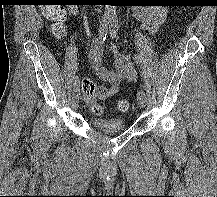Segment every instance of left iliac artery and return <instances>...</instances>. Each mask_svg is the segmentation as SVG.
I'll use <instances>...</instances> for the list:
<instances>
[{
    "label": "left iliac artery",
    "instance_id": "1",
    "mask_svg": "<svg viewBox=\"0 0 217 197\" xmlns=\"http://www.w3.org/2000/svg\"><path fill=\"white\" fill-rule=\"evenodd\" d=\"M118 32V23L116 21H112L109 27V33L111 38H116ZM133 60L137 65H143L145 63V59L141 55L134 54Z\"/></svg>",
    "mask_w": 217,
    "mask_h": 197
}]
</instances>
